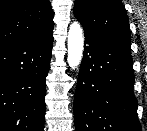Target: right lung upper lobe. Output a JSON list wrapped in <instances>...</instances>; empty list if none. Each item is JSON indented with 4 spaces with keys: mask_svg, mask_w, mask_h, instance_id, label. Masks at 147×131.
<instances>
[{
    "mask_svg": "<svg viewBox=\"0 0 147 131\" xmlns=\"http://www.w3.org/2000/svg\"><path fill=\"white\" fill-rule=\"evenodd\" d=\"M49 0H0V50L53 30Z\"/></svg>",
    "mask_w": 147,
    "mask_h": 131,
    "instance_id": "right-lung-upper-lobe-1",
    "label": "right lung upper lobe"
}]
</instances>
